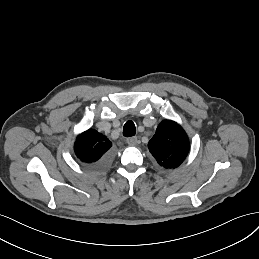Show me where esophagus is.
<instances>
[{
  "label": "esophagus",
  "mask_w": 259,
  "mask_h": 259,
  "mask_svg": "<svg viewBox=\"0 0 259 259\" xmlns=\"http://www.w3.org/2000/svg\"><path fill=\"white\" fill-rule=\"evenodd\" d=\"M127 143L130 146H134L137 144V137H130L127 139Z\"/></svg>",
  "instance_id": "34e87169"
}]
</instances>
